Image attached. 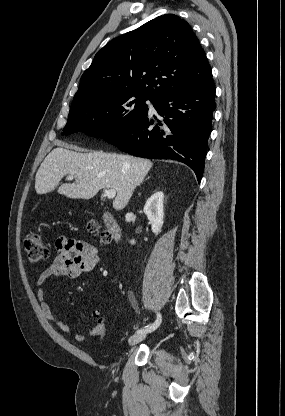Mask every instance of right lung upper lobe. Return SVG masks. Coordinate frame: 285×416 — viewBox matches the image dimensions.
<instances>
[{
  "instance_id": "obj_1",
  "label": "right lung upper lobe",
  "mask_w": 285,
  "mask_h": 416,
  "mask_svg": "<svg viewBox=\"0 0 285 416\" xmlns=\"http://www.w3.org/2000/svg\"><path fill=\"white\" fill-rule=\"evenodd\" d=\"M211 77L190 25L167 14L107 43L82 75L70 111L126 96L158 102Z\"/></svg>"
}]
</instances>
